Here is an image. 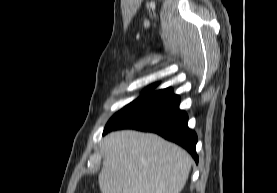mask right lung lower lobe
<instances>
[{
    "label": "right lung lower lobe",
    "mask_w": 277,
    "mask_h": 193,
    "mask_svg": "<svg viewBox=\"0 0 277 193\" xmlns=\"http://www.w3.org/2000/svg\"><path fill=\"white\" fill-rule=\"evenodd\" d=\"M180 97L172 88L145 95L136 103L113 116L103 134L117 129L155 132L185 148L198 163L197 135L188 128V116L179 109Z\"/></svg>",
    "instance_id": "right-lung-lower-lobe-1"
}]
</instances>
